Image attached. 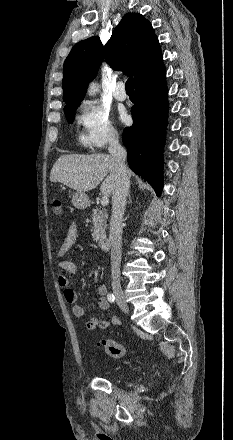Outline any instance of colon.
<instances>
[{
  "instance_id": "1",
  "label": "colon",
  "mask_w": 233,
  "mask_h": 440,
  "mask_svg": "<svg viewBox=\"0 0 233 440\" xmlns=\"http://www.w3.org/2000/svg\"><path fill=\"white\" fill-rule=\"evenodd\" d=\"M52 215L61 217L63 214V204L60 200H54L51 205ZM97 345L105 350V352L114 358H122L126 355V348L120 343L112 339L99 340Z\"/></svg>"
}]
</instances>
